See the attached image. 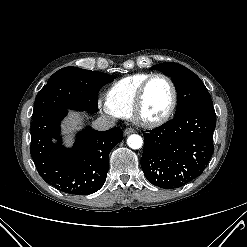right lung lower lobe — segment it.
I'll list each match as a JSON object with an SVG mask.
<instances>
[{
  "instance_id": "1",
  "label": "right lung lower lobe",
  "mask_w": 247,
  "mask_h": 247,
  "mask_svg": "<svg viewBox=\"0 0 247 247\" xmlns=\"http://www.w3.org/2000/svg\"><path fill=\"white\" fill-rule=\"evenodd\" d=\"M67 112L68 108L60 107L33 115L31 156L41 177L55 188L73 195L91 194L106 180L109 153L122 140V130L86 127L77 135L74 146L66 149L59 131Z\"/></svg>"
}]
</instances>
